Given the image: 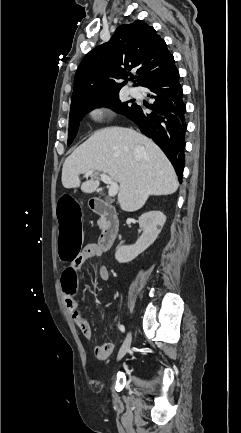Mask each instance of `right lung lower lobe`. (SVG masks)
I'll list each match as a JSON object with an SVG mask.
<instances>
[{"label":"right lung lower lobe","mask_w":241,"mask_h":433,"mask_svg":"<svg viewBox=\"0 0 241 433\" xmlns=\"http://www.w3.org/2000/svg\"><path fill=\"white\" fill-rule=\"evenodd\" d=\"M143 87L149 89L148 96L154 99V104L148 106L151 112L135 104L125 116L134 121L140 130L164 151L181 181L184 169L186 107L179 83V72L174 62Z\"/></svg>","instance_id":"obj_1"}]
</instances>
